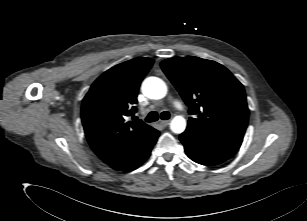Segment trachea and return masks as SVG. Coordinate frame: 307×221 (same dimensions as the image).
<instances>
[{"mask_svg":"<svg viewBox=\"0 0 307 221\" xmlns=\"http://www.w3.org/2000/svg\"><path fill=\"white\" fill-rule=\"evenodd\" d=\"M169 117H170V114L167 111H164L160 114V118L162 120H167V119H169ZM158 118H159L158 113L156 111H152L148 114L145 121L146 122H155V121L158 120Z\"/></svg>","mask_w":307,"mask_h":221,"instance_id":"obj_1","label":"trachea"}]
</instances>
